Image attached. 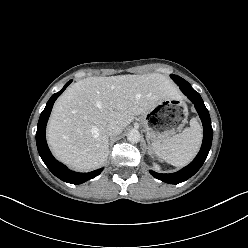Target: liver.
<instances>
[{
    "instance_id": "6515ba94",
    "label": "liver",
    "mask_w": 248,
    "mask_h": 248,
    "mask_svg": "<svg viewBox=\"0 0 248 248\" xmlns=\"http://www.w3.org/2000/svg\"><path fill=\"white\" fill-rule=\"evenodd\" d=\"M178 97L163 74L88 77L72 84L55 102L47 140L57 159L78 171L105 164L109 136L116 123L126 128L134 116L144 115L162 99Z\"/></svg>"
}]
</instances>
